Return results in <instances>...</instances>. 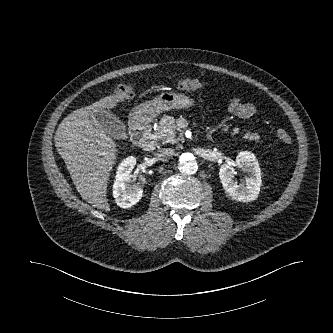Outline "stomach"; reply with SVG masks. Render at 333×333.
Here are the masks:
<instances>
[{
  "mask_svg": "<svg viewBox=\"0 0 333 333\" xmlns=\"http://www.w3.org/2000/svg\"><path fill=\"white\" fill-rule=\"evenodd\" d=\"M194 101L185 94L175 92H163L151 101L136 106L129 115L130 122L133 124H144L151 121L162 112L173 108H188Z\"/></svg>",
  "mask_w": 333,
  "mask_h": 333,
  "instance_id": "0dacf381",
  "label": "stomach"
}]
</instances>
